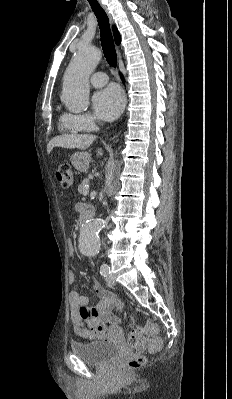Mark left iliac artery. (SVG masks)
Listing matches in <instances>:
<instances>
[{
	"label": "left iliac artery",
	"mask_w": 232,
	"mask_h": 399,
	"mask_svg": "<svg viewBox=\"0 0 232 399\" xmlns=\"http://www.w3.org/2000/svg\"><path fill=\"white\" fill-rule=\"evenodd\" d=\"M100 273L102 275H109L111 273L110 266L106 263H103L100 267Z\"/></svg>",
	"instance_id": "left-iliac-artery-1"
}]
</instances>
